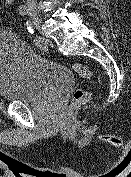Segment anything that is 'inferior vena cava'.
Masks as SVG:
<instances>
[{
    "instance_id": "obj_1",
    "label": "inferior vena cava",
    "mask_w": 131,
    "mask_h": 177,
    "mask_svg": "<svg viewBox=\"0 0 131 177\" xmlns=\"http://www.w3.org/2000/svg\"><path fill=\"white\" fill-rule=\"evenodd\" d=\"M36 1L37 0H27V4H28V6L35 7L36 6Z\"/></svg>"
}]
</instances>
